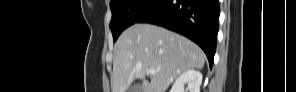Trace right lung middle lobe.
I'll list each match as a JSON object with an SVG mask.
<instances>
[{
    "instance_id": "right-lung-middle-lobe-1",
    "label": "right lung middle lobe",
    "mask_w": 296,
    "mask_h": 92,
    "mask_svg": "<svg viewBox=\"0 0 296 92\" xmlns=\"http://www.w3.org/2000/svg\"><path fill=\"white\" fill-rule=\"evenodd\" d=\"M159 0H111L112 19L110 29L114 41L121 32L136 21L146 12L151 10Z\"/></svg>"
}]
</instances>
